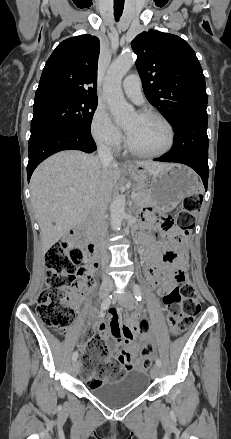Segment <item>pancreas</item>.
I'll list each match as a JSON object with an SVG mask.
<instances>
[{
	"label": "pancreas",
	"mask_w": 231,
	"mask_h": 439,
	"mask_svg": "<svg viewBox=\"0 0 231 439\" xmlns=\"http://www.w3.org/2000/svg\"><path fill=\"white\" fill-rule=\"evenodd\" d=\"M137 197L135 198L134 202L136 206H145L149 205L152 202L151 195L148 190L137 188Z\"/></svg>",
	"instance_id": "pancreas-1"
}]
</instances>
